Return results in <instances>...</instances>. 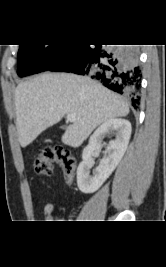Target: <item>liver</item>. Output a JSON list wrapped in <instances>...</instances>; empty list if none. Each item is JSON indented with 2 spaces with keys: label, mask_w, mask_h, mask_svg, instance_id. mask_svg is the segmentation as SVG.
Returning <instances> with one entry per match:
<instances>
[{
  "label": "liver",
  "mask_w": 166,
  "mask_h": 267,
  "mask_svg": "<svg viewBox=\"0 0 166 267\" xmlns=\"http://www.w3.org/2000/svg\"><path fill=\"white\" fill-rule=\"evenodd\" d=\"M16 127L22 147L28 146L65 115L76 120L67 127L62 142L79 147L101 123L129 113L120 96L88 77L43 73L18 84L15 91Z\"/></svg>",
  "instance_id": "obj_1"
}]
</instances>
